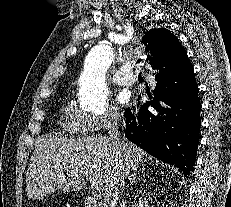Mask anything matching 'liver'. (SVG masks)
I'll list each match as a JSON object with an SVG mask.
<instances>
[{"instance_id":"1","label":"liver","mask_w":231,"mask_h":207,"mask_svg":"<svg viewBox=\"0 0 231 207\" xmlns=\"http://www.w3.org/2000/svg\"><path fill=\"white\" fill-rule=\"evenodd\" d=\"M145 155L125 137L115 149L109 138L101 134L77 139L45 136L35 148L27 169L28 199H42L56 190H81L85 180H92L101 184L105 202L114 207L119 178L138 169Z\"/></svg>"}]
</instances>
